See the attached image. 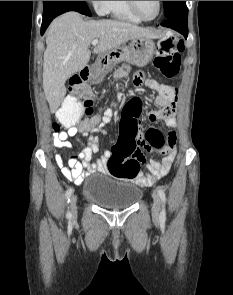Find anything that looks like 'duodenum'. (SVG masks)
<instances>
[{"mask_svg": "<svg viewBox=\"0 0 233 295\" xmlns=\"http://www.w3.org/2000/svg\"><path fill=\"white\" fill-rule=\"evenodd\" d=\"M81 77L83 81H88L93 77V71L91 68L89 67H85L82 71H81Z\"/></svg>", "mask_w": 233, "mask_h": 295, "instance_id": "410a0bca", "label": "duodenum"}]
</instances>
